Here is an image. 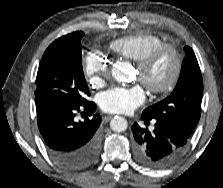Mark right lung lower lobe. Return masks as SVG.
<instances>
[{"label":"right lung lower lobe","instance_id":"98d812e1","mask_svg":"<svg viewBox=\"0 0 223 188\" xmlns=\"http://www.w3.org/2000/svg\"><path fill=\"white\" fill-rule=\"evenodd\" d=\"M38 128L53 160L67 170H82L91 166L100 153L98 128L101 116L76 122V112L92 114L96 105L88 101L83 105L46 98H36Z\"/></svg>","mask_w":223,"mask_h":188}]
</instances>
